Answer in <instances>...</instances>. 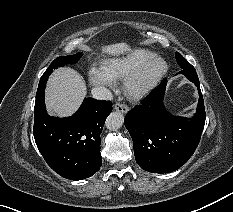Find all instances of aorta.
Returning a JSON list of instances; mask_svg holds the SVG:
<instances>
[{"mask_svg": "<svg viewBox=\"0 0 233 212\" xmlns=\"http://www.w3.org/2000/svg\"><path fill=\"white\" fill-rule=\"evenodd\" d=\"M124 123V116L120 112H112L106 119L105 125L109 130H117Z\"/></svg>", "mask_w": 233, "mask_h": 212, "instance_id": "aorta-1", "label": "aorta"}]
</instances>
